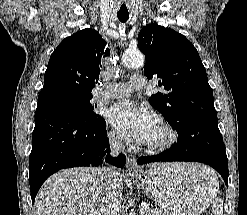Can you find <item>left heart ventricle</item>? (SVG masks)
Returning <instances> with one entry per match:
<instances>
[{
    "mask_svg": "<svg viewBox=\"0 0 247 215\" xmlns=\"http://www.w3.org/2000/svg\"><path fill=\"white\" fill-rule=\"evenodd\" d=\"M164 137L163 131L160 129L159 125L155 128L146 143H157L160 142Z\"/></svg>",
    "mask_w": 247,
    "mask_h": 215,
    "instance_id": "1",
    "label": "left heart ventricle"
}]
</instances>
